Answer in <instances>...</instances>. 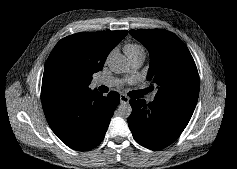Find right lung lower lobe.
<instances>
[{
    "label": "right lung lower lobe",
    "mask_w": 237,
    "mask_h": 169,
    "mask_svg": "<svg viewBox=\"0 0 237 169\" xmlns=\"http://www.w3.org/2000/svg\"><path fill=\"white\" fill-rule=\"evenodd\" d=\"M120 97L111 91L104 97L90 88L44 110L53 132L70 148L90 150L101 143Z\"/></svg>",
    "instance_id": "1"
}]
</instances>
